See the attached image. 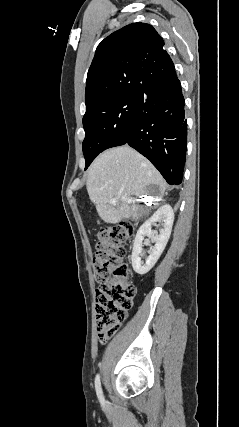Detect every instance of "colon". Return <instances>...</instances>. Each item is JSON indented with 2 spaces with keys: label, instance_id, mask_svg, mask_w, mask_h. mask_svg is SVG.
Wrapping results in <instances>:
<instances>
[{
  "label": "colon",
  "instance_id": "colon-1",
  "mask_svg": "<svg viewBox=\"0 0 239 427\" xmlns=\"http://www.w3.org/2000/svg\"><path fill=\"white\" fill-rule=\"evenodd\" d=\"M134 232V225L123 222L108 226L98 233L97 251L93 258L96 290V327L100 342L111 338L128 311L136 295L131 271L125 262L126 244Z\"/></svg>",
  "mask_w": 239,
  "mask_h": 427
}]
</instances>
